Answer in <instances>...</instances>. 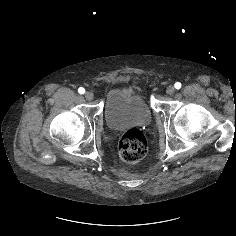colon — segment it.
Returning <instances> with one entry per match:
<instances>
[{"label":"colon","instance_id":"5ec220e1","mask_svg":"<svg viewBox=\"0 0 236 236\" xmlns=\"http://www.w3.org/2000/svg\"><path fill=\"white\" fill-rule=\"evenodd\" d=\"M148 143L143 132L138 128L128 129L119 142V154L128 163L140 161L147 153Z\"/></svg>","mask_w":236,"mask_h":236}]
</instances>
